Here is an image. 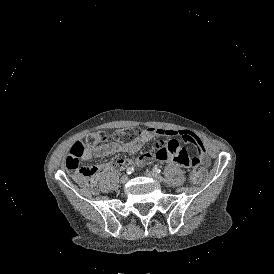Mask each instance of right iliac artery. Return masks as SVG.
<instances>
[{
    "mask_svg": "<svg viewBox=\"0 0 274 274\" xmlns=\"http://www.w3.org/2000/svg\"><path fill=\"white\" fill-rule=\"evenodd\" d=\"M133 171H134L133 167H128L127 170H126V173L131 174Z\"/></svg>",
    "mask_w": 274,
    "mask_h": 274,
    "instance_id": "obj_1",
    "label": "right iliac artery"
}]
</instances>
